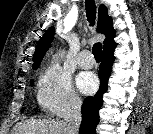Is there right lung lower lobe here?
<instances>
[{"mask_svg": "<svg viewBox=\"0 0 153 134\" xmlns=\"http://www.w3.org/2000/svg\"><path fill=\"white\" fill-rule=\"evenodd\" d=\"M115 46L104 49L102 53V62L99 70L100 88L94 97H87L82 105V123L79 134H95V128L99 123V110L103 103V94L108 87V79L111 74L112 64L114 62Z\"/></svg>", "mask_w": 153, "mask_h": 134, "instance_id": "1", "label": "right lung lower lobe"}]
</instances>
